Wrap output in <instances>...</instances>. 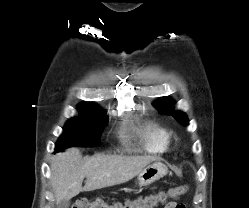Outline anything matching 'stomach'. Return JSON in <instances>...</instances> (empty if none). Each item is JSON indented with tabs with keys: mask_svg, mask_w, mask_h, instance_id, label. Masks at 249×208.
Instances as JSON below:
<instances>
[{
	"mask_svg": "<svg viewBox=\"0 0 249 208\" xmlns=\"http://www.w3.org/2000/svg\"><path fill=\"white\" fill-rule=\"evenodd\" d=\"M168 173L167 167L161 162H154L147 165L137 177V183L140 187L149 186L153 182L164 177Z\"/></svg>",
	"mask_w": 249,
	"mask_h": 208,
	"instance_id": "1",
	"label": "stomach"
}]
</instances>
